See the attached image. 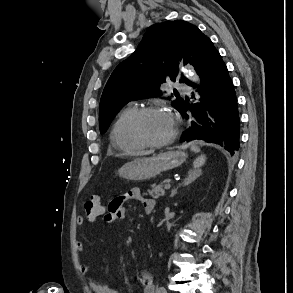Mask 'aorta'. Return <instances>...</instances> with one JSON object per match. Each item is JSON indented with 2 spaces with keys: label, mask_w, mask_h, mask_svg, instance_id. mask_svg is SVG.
<instances>
[{
  "label": "aorta",
  "mask_w": 293,
  "mask_h": 293,
  "mask_svg": "<svg viewBox=\"0 0 293 293\" xmlns=\"http://www.w3.org/2000/svg\"><path fill=\"white\" fill-rule=\"evenodd\" d=\"M186 76L193 82L198 83L199 82V77L193 70H189L186 72Z\"/></svg>",
  "instance_id": "762f6f07"
}]
</instances>
